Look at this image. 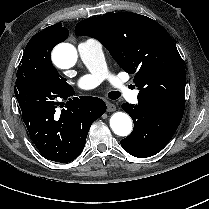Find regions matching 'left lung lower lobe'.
<instances>
[{"mask_svg":"<svg viewBox=\"0 0 209 209\" xmlns=\"http://www.w3.org/2000/svg\"><path fill=\"white\" fill-rule=\"evenodd\" d=\"M122 108L134 122L132 133L121 140V146L129 154L147 158L160 152L173 137L183 112L168 110L138 100L137 105L122 104Z\"/></svg>","mask_w":209,"mask_h":209,"instance_id":"0a47b994","label":"left lung lower lobe"}]
</instances>
